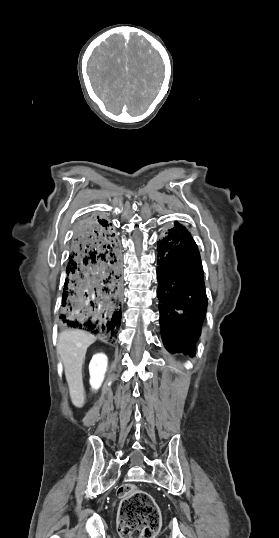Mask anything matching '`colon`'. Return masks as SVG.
Instances as JSON below:
<instances>
[{"label": "colon", "mask_w": 279, "mask_h": 538, "mask_svg": "<svg viewBox=\"0 0 279 538\" xmlns=\"http://www.w3.org/2000/svg\"><path fill=\"white\" fill-rule=\"evenodd\" d=\"M121 498L118 529L123 538H154L160 528V512L152 497L132 484L118 489Z\"/></svg>", "instance_id": "5ec220e1"}]
</instances>
